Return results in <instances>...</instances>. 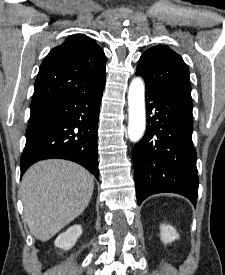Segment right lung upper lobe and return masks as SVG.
<instances>
[{
	"instance_id": "right-lung-upper-lobe-1",
	"label": "right lung upper lobe",
	"mask_w": 225,
	"mask_h": 275,
	"mask_svg": "<svg viewBox=\"0 0 225 275\" xmlns=\"http://www.w3.org/2000/svg\"><path fill=\"white\" fill-rule=\"evenodd\" d=\"M105 54L84 34L69 36L43 60L35 81L32 103L97 89L105 77Z\"/></svg>"
}]
</instances>
